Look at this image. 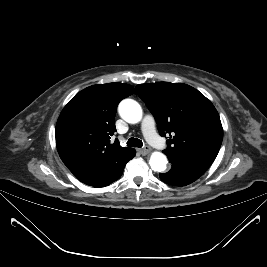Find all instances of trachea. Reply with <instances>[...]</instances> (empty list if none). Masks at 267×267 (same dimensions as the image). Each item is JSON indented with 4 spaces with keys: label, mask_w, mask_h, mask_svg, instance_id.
Wrapping results in <instances>:
<instances>
[{
    "label": "trachea",
    "mask_w": 267,
    "mask_h": 267,
    "mask_svg": "<svg viewBox=\"0 0 267 267\" xmlns=\"http://www.w3.org/2000/svg\"><path fill=\"white\" fill-rule=\"evenodd\" d=\"M127 146L141 148L143 146V142L138 138L131 137L128 139Z\"/></svg>",
    "instance_id": "obj_1"
}]
</instances>
